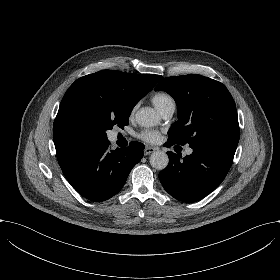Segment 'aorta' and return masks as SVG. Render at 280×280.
Listing matches in <instances>:
<instances>
[{"instance_id": "obj_1", "label": "aorta", "mask_w": 280, "mask_h": 280, "mask_svg": "<svg viewBox=\"0 0 280 280\" xmlns=\"http://www.w3.org/2000/svg\"><path fill=\"white\" fill-rule=\"evenodd\" d=\"M137 124L144 128L154 127L159 123V117L151 108H141L135 113ZM169 163L168 155L163 151H156L150 156V165L158 170H164Z\"/></svg>"}]
</instances>
